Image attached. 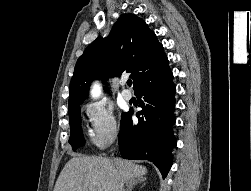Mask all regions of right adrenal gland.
I'll use <instances>...</instances> for the list:
<instances>
[{"mask_svg": "<svg viewBox=\"0 0 251 191\" xmlns=\"http://www.w3.org/2000/svg\"><path fill=\"white\" fill-rule=\"evenodd\" d=\"M142 181H145V177H141V179H130V181H127V189L126 191H132L133 187L137 185V183H142Z\"/></svg>", "mask_w": 251, "mask_h": 191, "instance_id": "2a0ac1e0", "label": "right adrenal gland"}]
</instances>
